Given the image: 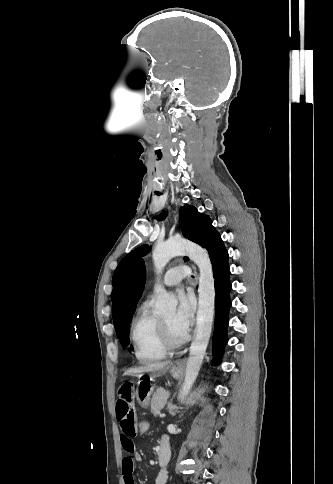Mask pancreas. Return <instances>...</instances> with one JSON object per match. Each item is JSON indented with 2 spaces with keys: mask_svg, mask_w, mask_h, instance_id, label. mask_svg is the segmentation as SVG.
I'll list each match as a JSON object with an SVG mask.
<instances>
[{
  "mask_svg": "<svg viewBox=\"0 0 333 484\" xmlns=\"http://www.w3.org/2000/svg\"><path fill=\"white\" fill-rule=\"evenodd\" d=\"M168 397L169 393L163 388H159L153 394V397L151 399V413L154 416L160 415V410L163 409V407L165 406Z\"/></svg>",
  "mask_w": 333,
  "mask_h": 484,
  "instance_id": "pancreas-1",
  "label": "pancreas"
}]
</instances>
